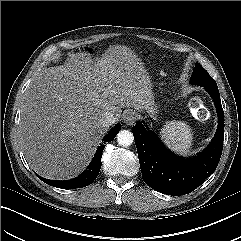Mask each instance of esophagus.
<instances>
[{"label": "esophagus", "mask_w": 241, "mask_h": 241, "mask_svg": "<svg viewBox=\"0 0 241 241\" xmlns=\"http://www.w3.org/2000/svg\"><path fill=\"white\" fill-rule=\"evenodd\" d=\"M136 119H137V115L133 111L126 112L123 117L124 123L129 126L133 125L135 123Z\"/></svg>", "instance_id": "esophagus-1"}]
</instances>
